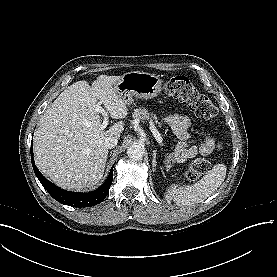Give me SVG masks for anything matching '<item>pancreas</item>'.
<instances>
[{
    "label": "pancreas",
    "mask_w": 277,
    "mask_h": 277,
    "mask_svg": "<svg viewBox=\"0 0 277 277\" xmlns=\"http://www.w3.org/2000/svg\"><path fill=\"white\" fill-rule=\"evenodd\" d=\"M132 116L134 119H140V120H147L149 122H152L153 124H159L157 121V116L155 114H150L147 109L145 108H136L134 109V112L132 113Z\"/></svg>",
    "instance_id": "1"
}]
</instances>
